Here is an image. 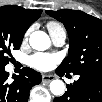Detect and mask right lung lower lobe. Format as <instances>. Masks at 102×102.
Segmentation results:
<instances>
[{
	"mask_svg": "<svg viewBox=\"0 0 102 102\" xmlns=\"http://www.w3.org/2000/svg\"><path fill=\"white\" fill-rule=\"evenodd\" d=\"M9 73L0 67V98L4 102H27L29 91L41 82L40 73L31 68H23L20 75H13L8 82Z\"/></svg>",
	"mask_w": 102,
	"mask_h": 102,
	"instance_id": "1",
	"label": "right lung lower lobe"
}]
</instances>
